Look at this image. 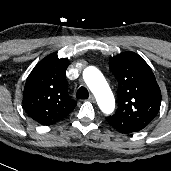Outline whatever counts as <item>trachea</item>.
Returning <instances> with one entry per match:
<instances>
[{"mask_svg": "<svg viewBox=\"0 0 171 171\" xmlns=\"http://www.w3.org/2000/svg\"><path fill=\"white\" fill-rule=\"evenodd\" d=\"M89 96V92L87 90V88L85 87H80L77 91V94H76V97L78 99H85V98H88Z\"/></svg>", "mask_w": 171, "mask_h": 171, "instance_id": "trachea-1", "label": "trachea"}]
</instances>
